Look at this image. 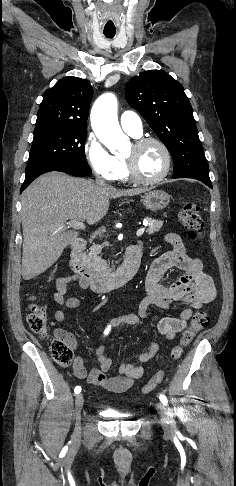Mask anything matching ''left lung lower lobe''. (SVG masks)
<instances>
[{
	"mask_svg": "<svg viewBox=\"0 0 236 486\" xmlns=\"http://www.w3.org/2000/svg\"><path fill=\"white\" fill-rule=\"evenodd\" d=\"M174 178V177H173ZM202 181L204 184H206L208 187L212 188V183L211 181H204V180H200Z\"/></svg>",
	"mask_w": 236,
	"mask_h": 486,
	"instance_id": "left-lung-lower-lobe-1",
	"label": "left lung lower lobe"
}]
</instances>
